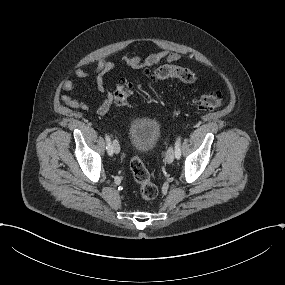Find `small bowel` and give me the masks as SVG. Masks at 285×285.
Segmentation results:
<instances>
[{
	"label": "small bowel",
	"mask_w": 285,
	"mask_h": 285,
	"mask_svg": "<svg viewBox=\"0 0 285 285\" xmlns=\"http://www.w3.org/2000/svg\"><path fill=\"white\" fill-rule=\"evenodd\" d=\"M181 58L179 52H172L169 50L155 51L143 57L142 55L123 56L120 63L125 68L143 69L150 68L161 63H170L177 61ZM116 65L115 60L101 57L96 62V66L93 70L88 71L82 66H78L75 70V74L78 78L84 79L88 77H94L96 87L100 93L104 95V98L100 105L96 109V113L99 116L105 115L113 105V92L109 89L106 83V76L114 69ZM61 88L66 92H71L75 89V84L71 80H64L61 84ZM62 102L74 109H80L88 111L89 105L77 97L68 95H61Z\"/></svg>",
	"instance_id": "c3829d8e"
}]
</instances>
